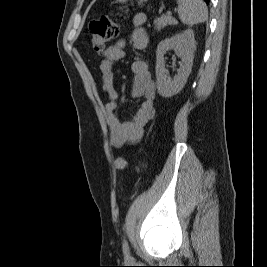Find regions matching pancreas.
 Here are the masks:
<instances>
[{
    "label": "pancreas",
    "instance_id": "obj_1",
    "mask_svg": "<svg viewBox=\"0 0 267 267\" xmlns=\"http://www.w3.org/2000/svg\"><path fill=\"white\" fill-rule=\"evenodd\" d=\"M155 29L160 31L162 28L168 25H177L178 21L169 15H162L161 17L154 20Z\"/></svg>",
    "mask_w": 267,
    "mask_h": 267
}]
</instances>
